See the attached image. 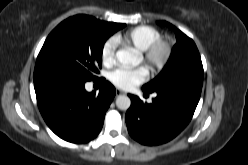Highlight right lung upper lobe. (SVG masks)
<instances>
[{"mask_svg": "<svg viewBox=\"0 0 248 165\" xmlns=\"http://www.w3.org/2000/svg\"><path fill=\"white\" fill-rule=\"evenodd\" d=\"M76 17H80L86 20L87 22H89L90 24L101 27V28H113V27L120 25V23L104 22L92 16H87V15H76Z\"/></svg>", "mask_w": 248, "mask_h": 165, "instance_id": "obj_1", "label": "right lung upper lobe"}]
</instances>
